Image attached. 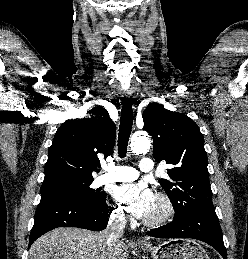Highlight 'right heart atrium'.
Instances as JSON below:
<instances>
[{
  "label": "right heart atrium",
  "mask_w": 248,
  "mask_h": 259,
  "mask_svg": "<svg viewBox=\"0 0 248 259\" xmlns=\"http://www.w3.org/2000/svg\"><path fill=\"white\" fill-rule=\"evenodd\" d=\"M112 217L117 221L125 220V211L121 206H116L112 211Z\"/></svg>",
  "instance_id": "right-heart-atrium-1"
}]
</instances>
